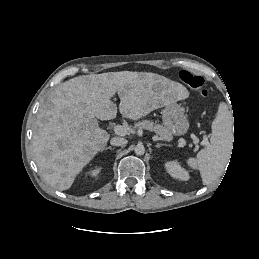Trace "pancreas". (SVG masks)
Here are the masks:
<instances>
[{
  "instance_id": "1",
  "label": "pancreas",
  "mask_w": 259,
  "mask_h": 259,
  "mask_svg": "<svg viewBox=\"0 0 259 259\" xmlns=\"http://www.w3.org/2000/svg\"><path fill=\"white\" fill-rule=\"evenodd\" d=\"M135 127L155 131L160 136V139L169 141L172 139V134L162 125L154 124L152 121L144 120L135 124Z\"/></svg>"
}]
</instances>
